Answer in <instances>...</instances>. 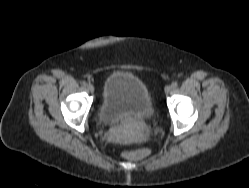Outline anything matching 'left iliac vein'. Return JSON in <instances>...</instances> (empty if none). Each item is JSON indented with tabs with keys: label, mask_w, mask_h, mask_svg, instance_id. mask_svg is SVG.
Instances as JSON below:
<instances>
[{
	"label": "left iliac vein",
	"mask_w": 249,
	"mask_h": 188,
	"mask_svg": "<svg viewBox=\"0 0 249 188\" xmlns=\"http://www.w3.org/2000/svg\"><path fill=\"white\" fill-rule=\"evenodd\" d=\"M171 90H172V86H171V85L166 86V87H165V89H164L165 94L170 93V92H171Z\"/></svg>",
	"instance_id": "1"
}]
</instances>
